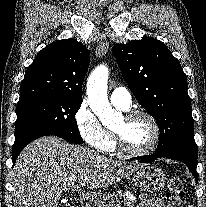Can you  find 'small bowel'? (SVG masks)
I'll return each mask as SVG.
<instances>
[{"label": "small bowel", "mask_w": 206, "mask_h": 207, "mask_svg": "<svg viewBox=\"0 0 206 207\" xmlns=\"http://www.w3.org/2000/svg\"><path fill=\"white\" fill-rule=\"evenodd\" d=\"M137 207H165L159 200L144 197L142 202Z\"/></svg>", "instance_id": "1"}]
</instances>
